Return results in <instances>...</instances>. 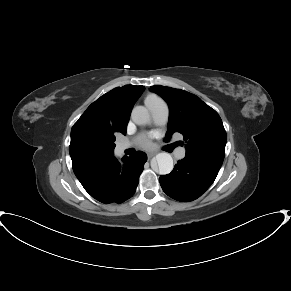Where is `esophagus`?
Segmentation results:
<instances>
[{
	"label": "esophagus",
	"mask_w": 291,
	"mask_h": 291,
	"mask_svg": "<svg viewBox=\"0 0 291 291\" xmlns=\"http://www.w3.org/2000/svg\"><path fill=\"white\" fill-rule=\"evenodd\" d=\"M155 155H156L155 152H149V153L147 154V157H148V159H150V158L154 157Z\"/></svg>",
	"instance_id": "obj_1"
}]
</instances>
